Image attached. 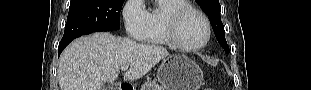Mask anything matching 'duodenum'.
<instances>
[{"label": "duodenum", "instance_id": "obj_1", "mask_svg": "<svg viewBox=\"0 0 311 90\" xmlns=\"http://www.w3.org/2000/svg\"><path fill=\"white\" fill-rule=\"evenodd\" d=\"M118 90H133L132 87L128 84H122L120 85V87L118 88Z\"/></svg>", "mask_w": 311, "mask_h": 90}]
</instances>
